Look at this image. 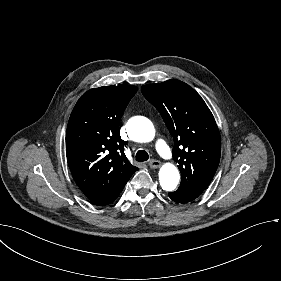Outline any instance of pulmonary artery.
I'll return each mask as SVG.
<instances>
[{
    "mask_svg": "<svg viewBox=\"0 0 281 281\" xmlns=\"http://www.w3.org/2000/svg\"><path fill=\"white\" fill-rule=\"evenodd\" d=\"M153 145L157 149L160 155L168 162H173L177 158V153L173 147L162 136H157L153 140Z\"/></svg>",
    "mask_w": 281,
    "mask_h": 281,
    "instance_id": "pulmonary-artery-1",
    "label": "pulmonary artery"
}]
</instances>
